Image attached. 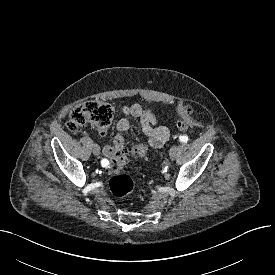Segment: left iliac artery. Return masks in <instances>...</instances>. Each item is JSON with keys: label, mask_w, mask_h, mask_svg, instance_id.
<instances>
[{"label": "left iliac artery", "mask_w": 275, "mask_h": 275, "mask_svg": "<svg viewBox=\"0 0 275 275\" xmlns=\"http://www.w3.org/2000/svg\"><path fill=\"white\" fill-rule=\"evenodd\" d=\"M180 142L186 143L188 141V136L183 135L179 137Z\"/></svg>", "instance_id": "44dca946"}]
</instances>
